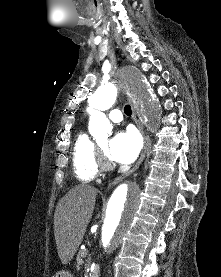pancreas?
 <instances>
[{
  "instance_id": "obj_1",
  "label": "pancreas",
  "mask_w": 221,
  "mask_h": 277,
  "mask_svg": "<svg viewBox=\"0 0 221 277\" xmlns=\"http://www.w3.org/2000/svg\"><path fill=\"white\" fill-rule=\"evenodd\" d=\"M88 252L86 250H80L77 255V269L81 268V265L83 264V258L87 256Z\"/></svg>"
}]
</instances>
